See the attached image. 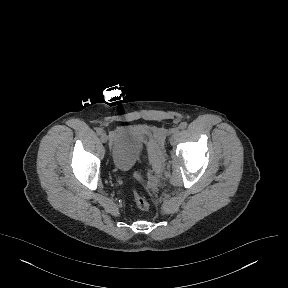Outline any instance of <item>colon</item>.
I'll use <instances>...</instances> for the list:
<instances>
[{"label": "colon", "instance_id": "1", "mask_svg": "<svg viewBox=\"0 0 288 288\" xmlns=\"http://www.w3.org/2000/svg\"><path fill=\"white\" fill-rule=\"evenodd\" d=\"M133 199L136 207L141 211H147L149 208L148 201L138 193L133 194Z\"/></svg>", "mask_w": 288, "mask_h": 288}]
</instances>
